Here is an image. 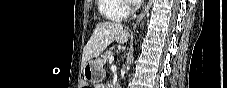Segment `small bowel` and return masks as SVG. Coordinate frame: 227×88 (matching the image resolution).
I'll use <instances>...</instances> for the list:
<instances>
[{
  "label": "small bowel",
  "mask_w": 227,
  "mask_h": 88,
  "mask_svg": "<svg viewBox=\"0 0 227 88\" xmlns=\"http://www.w3.org/2000/svg\"><path fill=\"white\" fill-rule=\"evenodd\" d=\"M96 87L97 88H104V87H107V86H105L104 84H98Z\"/></svg>",
  "instance_id": "obj_1"
}]
</instances>
